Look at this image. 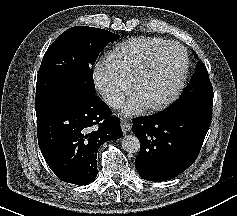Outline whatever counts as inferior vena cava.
<instances>
[{
    "label": "inferior vena cava",
    "instance_id": "obj_1",
    "mask_svg": "<svg viewBox=\"0 0 237 216\" xmlns=\"http://www.w3.org/2000/svg\"><path fill=\"white\" fill-rule=\"evenodd\" d=\"M103 101L114 109H120L125 104V96L122 93L109 89L100 91Z\"/></svg>",
    "mask_w": 237,
    "mask_h": 216
}]
</instances>
